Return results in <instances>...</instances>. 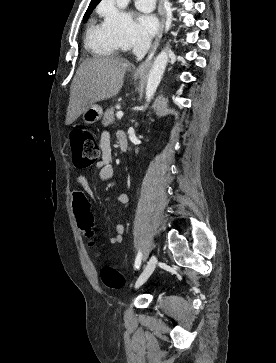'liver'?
Here are the masks:
<instances>
[{"mask_svg":"<svg viewBox=\"0 0 276 363\" xmlns=\"http://www.w3.org/2000/svg\"><path fill=\"white\" fill-rule=\"evenodd\" d=\"M129 66L120 58L100 57L83 61L71 84L66 125L73 123L88 106L116 96Z\"/></svg>","mask_w":276,"mask_h":363,"instance_id":"6515ba94","label":"liver"}]
</instances>
